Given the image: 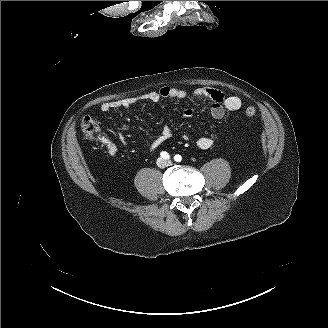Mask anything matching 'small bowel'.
I'll return each instance as SVG.
<instances>
[{"label":"small bowel","instance_id":"obj_1","mask_svg":"<svg viewBox=\"0 0 328 328\" xmlns=\"http://www.w3.org/2000/svg\"><path fill=\"white\" fill-rule=\"evenodd\" d=\"M175 99V100H184V99H202L209 100L212 102L210 108V114L214 119H222L227 113L237 111L242 106V101L237 96H225L223 92L213 88H195L193 90H186L178 87L172 86H163L159 90L150 91L144 93L143 95L136 97H125L117 100H112L104 102L100 106V110L103 113L109 112L114 109L120 108H129L134 104L140 101L148 102H158L161 99ZM194 114L192 108H186L182 116L184 118H191ZM172 136V131L169 127L164 126L161 128L159 135L150 143L149 151H154L164 142L170 139ZM184 141H189L191 139L190 135L187 132L182 133L181 135ZM119 140L126 144V138L122 133L118 134ZM100 142L105 146L108 154L111 157L116 156L117 146L109 138L102 136ZM213 144V139L209 136H201L196 140V145L202 149H209Z\"/></svg>","mask_w":328,"mask_h":328}]
</instances>
